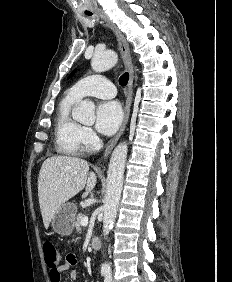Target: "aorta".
Returning a JSON list of instances; mask_svg holds the SVG:
<instances>
[{
    "mask_svg": "<svg viewBox=\"0 0 232 282\" xmlns=\"http://www.w3.org/2000/svg\"><path fill=\"white\" fill-rule=\"evenodd\" d=\"M118 61V55L112 50H97L95 51L91 60V67L95 72H104L114 65ZM73 118L84 124H92L95 121V106L91 100H83L75 113ZM127 144L122 142L114 149L107 172V190L103 205V234L108 235L111 231L118 206L121 198L124 169L127 158ZM101 271L105 273L111 272L110 264L105 262L101 266Z\"/></svg>",
    "mask_w": 232,
    "mask_h": 282,
    "instance_id": "aorta-1",
    "label": "aorta"
}]
</instances>
